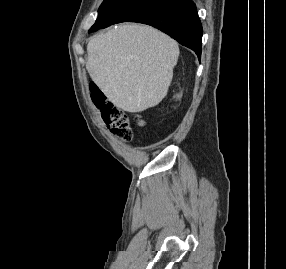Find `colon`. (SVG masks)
Segmentation results:
<instances>
[{
	"label": "colon",
	"mask_w": 286,
	"mask_h": 269,
	"mask_svg": "<svg viewBox=\"0 0 286 269\" xmlns=\"http://www.w3.org/2000/svg\"><path fill=\"white\" fill-rule=\"evenodd\" d=\"M92 102L99 109L103 122L111 132L124 140L132 138L129 116L120 108L114 106L99 89L92 91ZM142 123V121H139Z\"/></svg>",
	"instance_id": "5ec220e1"
}]
</instances>
